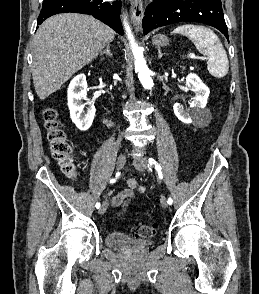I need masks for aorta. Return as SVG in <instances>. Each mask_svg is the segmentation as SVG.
Listing matches in <instances>:
<instances>
[{
    "mask_svg": "<svg viewBox=\"0 0 259 294\" xmlns=\"http://www.w3.org/2000/svg\"><path fill=\"white\" fill-rule=\"evenodd\" d=\"M124 27L127 33V37L130 41L132 52L135 59V71L138 72V78L145 89H151L154 85L151 78V71L149 70L146 61L143 57V51L134 40V37L131 33V29L128 23L124 20Z\"/></svg>",
    "mask_w": 259,
    "mask_h": 294,
    "instance_id": "762f6f07",
    "label": "aorta"
}]
</instances>
